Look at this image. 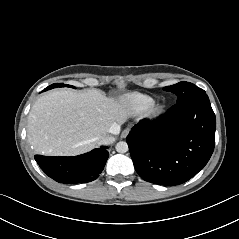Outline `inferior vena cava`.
<instances>
[{
    "label": "inferior vena cava",
    "mask_w": 239,
    "mask_h": 239,
    "mask_svg": "<svg viewBox=\"0 0 239 239\" xmlns=\"http://www.w3.org/2000/svg\"><path fill=\"white\" fill-rule=\"evenodd\" d=\"M120 131V127L116 126L112 131V134H118ZM115 141V138L110 134H105L99 137V143L103 145L111 144Z\"/></svg>",
    "instance_id": "1"
}]
</instances>
